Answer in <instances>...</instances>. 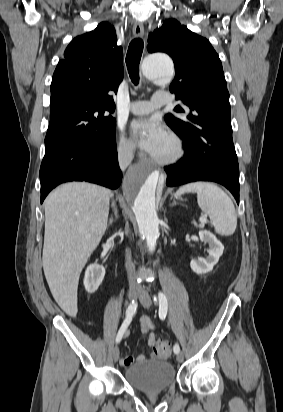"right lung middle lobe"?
<instances>
[{
	"label": "right lung middle lobe",
	"mask_w": 283,
	"mask_h": 412,
	"mask_svg": "<svg viewBox=\"0 0 283 412\" xmlns=\"http://www.w3.org/2000/svg\"><path fill=\"white\" fill-rule=\"evenodd\" d=\"M113 111L97 105L74 104L63 114L50 115L45 149L74 139L97 142L113 137L116 120L108 113Z\"/></svg>",
	"instance_id": "obj_1"
}]
</instances>
